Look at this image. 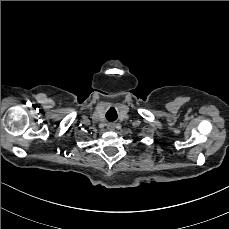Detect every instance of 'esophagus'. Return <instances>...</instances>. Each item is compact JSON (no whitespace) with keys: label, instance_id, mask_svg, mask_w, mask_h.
I'll use <instances>...</instances> for the list:
<instances>
[{"label":"esophagus","instance_id":"esophagus-1","mask_svg":"<svg viewBox=\"0 0 229 229\" xmlns=\"http://www.w3.org/2000/svg\"><path fill=\"white\" fill-rule=\"evenodd\" d=\"M107 127H108L109 130L113 131L115 129V124L114 123H109Z\"/></svg>","mask_w":229,"mask_h":229}]
</instances>
